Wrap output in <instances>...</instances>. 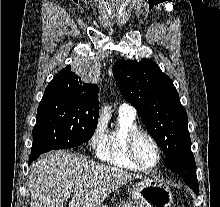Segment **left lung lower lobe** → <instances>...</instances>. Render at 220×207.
Masks as SVG:
<instances>
[{"instance_id": "obj_1", "label": "left lung lower lobe", "mask_w": 220, "mask_h": 207, "mask_svg": "<svg viewBox=\"0 0 220 207\" xmlns=\"http://www.w3.org/2000/svg\"><path fill=\"white\" fill-rule=\"evenodd\" d=\"M166 167L179 174L196 195L199 194L195 159L191 151L186 155L167 158Z\"/></svg>"}]
</instances>
